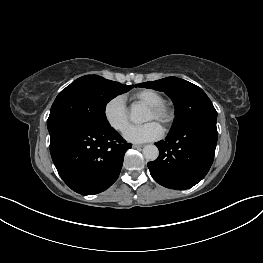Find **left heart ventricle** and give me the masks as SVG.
Listing matches in <instances>:
<instances>
[{
    "label": "left heart ventricle",
    "mask_w": 263,
    "mask_h": 263,
    "mask_svg": "<svg viewBox=\"0 0 263 263\" xmlns=\"http://www.w3.org/2000/svg\"><path fill=\"white\" fill-rule=\"evenodd\" d=\"M145 121H157V122H159L158 119L156 118L155 114L150 109L147 110V113L145 116Z\"/></svg>",
    "instance_id": "1"
}]
</instances>
